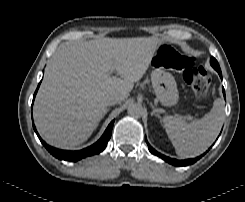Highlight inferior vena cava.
<instances>
[{
    "instance_id": "obj_1",
    "label": "inferior vena cava",
    "mask_w": 245,
    "mask_h": 202,
    "mask_svg": "<svg viewBox=\"0 0 245 202\" xmlns=\"http://www.w3.org/2000/svg\"><path fill=\"white\" fill-rule=\"evenodd\" d=\"M120 95L119 94H110L106 97V104L109 106L115 105L120 102Z\"/></svg>"
}]
</instances>
